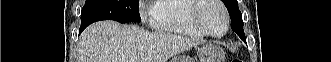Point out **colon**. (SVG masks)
<instances>
[{"instance_id": "5ec220e1", "label": "colon", "mask_w": 331, "mask_h": 62, "mask_svg": "<svg viewBox=\"0 0 331 62\" xmlns=\"http://www.w3.org/2000/svg\"><path fill=\"white\" fill-rule=\"evenodd\" d=\"M232 62H242L240 59L233 60Z\"/></svg>"}]
</instances>
